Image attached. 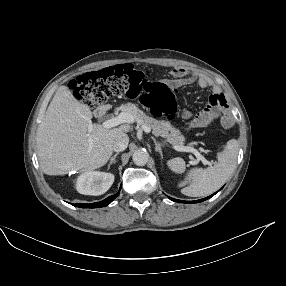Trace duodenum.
I'll return each mask as SVG.
<instances>
[{
	"label": "duodenum",
	"instance_id": "410a0bca",
	"mask_svg": "<svg viewBox=\"0 0 286 286\" xmlns=\"http://www.w3.org/2000/svg\"><path fill=\"white\" fill-rule=\"evenodd\" d=\"M108 110H109V108L106 106L98 107L95 111V115L98 118H103L106 115V113L108 112Z\"/></svg>",
	"mask_w": 286,
	"mask_h": 286
}]
</instances>
